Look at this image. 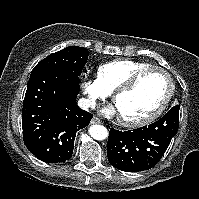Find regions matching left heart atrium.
Instances as JSON below:
<instances>
[{"label":"left heart atrium","mask_w":199,"mask_h":199,"mask_svg":"<svg viewBox=\"0 0 199 199\" xmlns=\"http://www.w3.org/2000/svg\"><path fill=\"white\" fill-rule=\"evenodd\" d=\"M105 113L108 114V115H110V116L119 114L116 107H109V108H107V109L105 110Z\"/></svg>","instance_id":"obj_1"}]
</instances>
